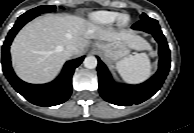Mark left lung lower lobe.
Returning a JSON list of instances; mask_svg holds the SVG:
<instances>
[{
	"instance_id": "obj_1",
	"label": "left lung lower lobe",
	"mask_w": 194,
	"mask_h": 133,
	"mask_svg": "<svg viewBox=\"0 0 194 133\" xmlns=\"http://www.w3.org/2000/svg\"><path fill=\"white\" fill-rule=\"evenodd\" d=\"M133 29L142 30L154 36L159 44V69L156 74L139 85L116 84L107 67L98 59L99 92L104 100L119 106L140 104L152 97L162 86L170 70V50L167 41L161 32L158 21L150 17L140 19Z\"/></svg>"
}]
</instances>
